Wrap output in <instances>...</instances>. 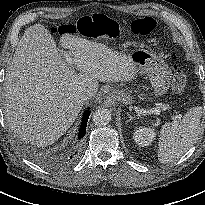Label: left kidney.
Segmentation results:
<instances>
[{"instance_id": "1", "label": "left kidney", "mask_w": 205, "mask_h": 205, "mask_svg": "<svg viewBox=\"0 0 205 205\" xmlns=\"http://www.w3.org/2000/svg\"><path fill=\"white\" fill-rule=\"evenodd\" d=\"M156 136L153 128L139 127L135 128L133 138L135 142L144 147L149 146Z\"/></svg>"}]
</instances>
